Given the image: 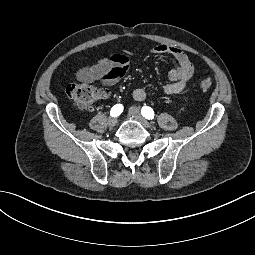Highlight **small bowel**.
Listing matches in <instances>:
<instances>
[{
    "mask_svg": "<svg viewBox=\"0 0 255 255\" xmlns=\"http://www.w3.org/2000/svg\"><path fill=\"white\" fill-rule=\"evenodd\" d=\"M155 55H169L173 57L178 67L168 73L169 83L165 85L161 93L163 95H174L183 92L194 73V66L187 54L178 47L165 44H158L151 49ZM129 65L127 56L114 54L110 57L100 59L90 66H85L76 72V79L79 82L92 83L100 82L105 88L101 90V95L107 97L109 91L106 87L118 82L126 73ZM134 100L142 102L147 99V92L143 88H136L132 94Z\"/></svg>",
    "mask_w": 255,
    "mask_h": 255,
    "instance_id": "obj_1",
    "label": "small bowel"
}]
</instances>
